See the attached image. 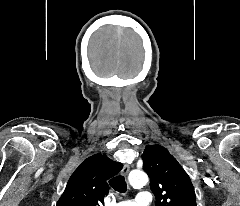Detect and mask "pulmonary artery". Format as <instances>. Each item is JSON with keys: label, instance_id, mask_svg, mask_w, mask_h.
<instances>
[{"label": "pulmonary artery", "instance_id": "pulmonary-artery-1", "mask_svg": "<svg viewBox=\"0 0 240 206\" xmlns=\"http://www.w3.org/2000/svg\"><path fill=\"white\" fill-rule=\"evenodd\" d=\"M151 195L148 191H140L134 200H125L118 202L116 206H148L150 204Z\"/></svg>", "mask_w": 240, "mask_h": 206}]
</instances>
